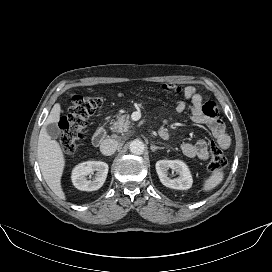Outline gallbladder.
Wrapping results in <instances>:
<instances>
[{
  "instance_id": "gallbladder-1",
  "label": "gallbladder",
  "mask_w": 272,
  "mask_h": 272,
  "mask_svg": "<svg viewBox=\"0 0 272 272\" xmlns=\"http://www.w3.org/2000/svg\"><path fill=\"white\" fill-rule=\"evenodd\" d=\"M46 131L49 134V136L53 139H56L58 135L60 134V128L56 123H51L46 126Z\"/></svg>"
}]
</instances>
